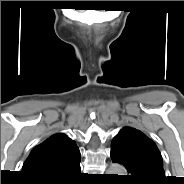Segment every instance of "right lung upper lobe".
<instances>
[{
  "instance_id": "obj_1",
  "label": "right lung upper lobe",
  "mask_w": 184,
  "mask_h": 184,
  "mask_svg": "<svg viewBox=\"0 0 184 184\" xmlns=\"http://www.w3.org/2000/svg\"><path fill=\"white\" fill-rule=\"evenodd\" d=\"M80 160L75 142L66 134L52 135L36 146L23 165V173L30 180L56 179Z\"/></svg>"
}]
</instances>
